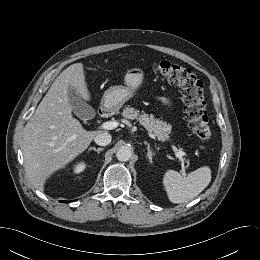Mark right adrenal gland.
Wrapping results in <instances>:
<instances>
[{"label":"right adrenal gland","instance_id":"obj_1","mask_svg":"<svg viewBox=\"0 0 260 260\" xmlns=\"http://www.w3.org/2000/svg\"><path fill=\"white\" fill-rule=\"evenodd\" d=\"M91 150H94V151H96L97 153H100V151H102L103 148H102V147H101V148L90 147V148H89V151H91Z\"/></svg>","mask_w":260,"mask_h":260}]
</instances>
